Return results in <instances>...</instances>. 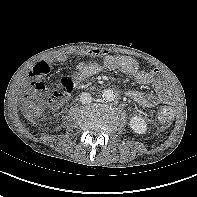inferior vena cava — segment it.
<instances>
[{"label":"inferior vena cava","instance_id":"602c4592","mask_svg":"<svg viewBox=\"0 0 197 197\" xmlns=\"http://www.w3.org/2000/svg\"><path fill=\"white\" fill-rule=\"evenodd\" d=\"M80 102L82 104H89V103H91L92 102V96H91V94L86 93V92H83L80 95Z\"/></svg>","mask_w":197,"mask_h":197}]
</instances>
